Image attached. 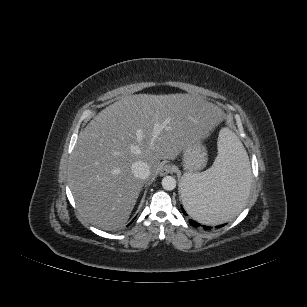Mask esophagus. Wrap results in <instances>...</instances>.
I'll use <instances>...</instances> for the list:
<instances>
[{
    "label": "esophagus",
    "instance_id": "obj_1",
    "mask_svg": "<svg viewBox=\"0 0 307 307\" xmlns=\"http://www.w3.org/2000/svg\"><path fill=\"white\" fill-rule=\"evenodd\" d=\"M171 172H172V166L170 164H165L164 166H162L159 173H160V176H164Z\"/></svg>",
    "mask_w": 307,
    "mask_h": 307
}]
</instances>
